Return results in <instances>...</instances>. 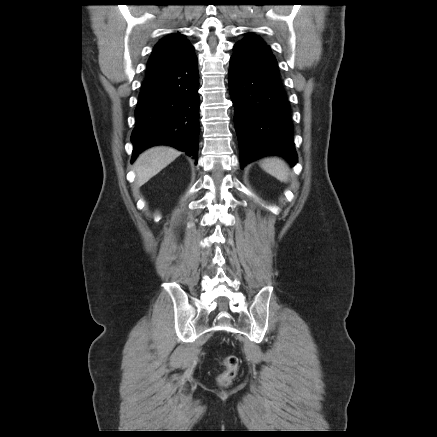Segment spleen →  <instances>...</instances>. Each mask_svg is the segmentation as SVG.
Segmentation results:
<instances>
[{"instance_id":"1","label":"spleen","mask_w":437,"mask_h":437,"mask_svg":"<svg viewBox=\"0 0 437 437\" xmlns=\"http://www.w3.org/2000/svg\"><path fill=\"white\" fill-rule=\"evenodd\" d=\"M261 168L275 177L281 182H288L289 180V168L287 164L279 158H266L260 163Z\"/></svg>"}]
</instances>
